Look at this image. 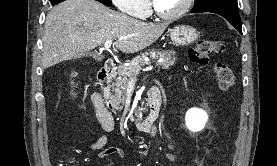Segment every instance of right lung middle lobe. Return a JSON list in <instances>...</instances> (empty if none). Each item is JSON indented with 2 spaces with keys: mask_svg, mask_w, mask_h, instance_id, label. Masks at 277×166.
I'll use <instances>...</instances> for the list:
<instances>
[{
  "mask_svg": "<svg viewBox=\"0 0 277 166\" xmlns=\"http://www.w3.org/2000/svg\"><path fill=\"white\" fill-rule=\"evenodd\" d=\"M97 1L103 3L104 5H108V6L111 5V0H97Z\"/></svg>",
  "mask_w": 277,
  "mask_h": 166,
  "instance_id": "1",
  "label": "right lung middle lobe"
}]
</instances>
